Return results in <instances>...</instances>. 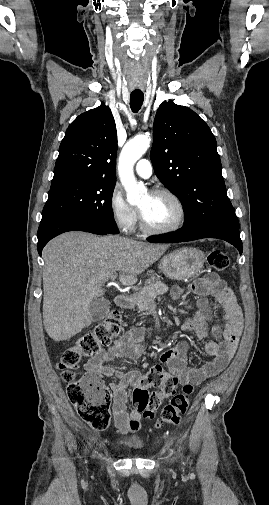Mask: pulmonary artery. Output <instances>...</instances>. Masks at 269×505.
I'll use <instances>...</instances> for the list:
<instances>
[{
  "label": "pulmonary artery",
  "instance_id": "pulmonary-artery-1",
  "mask_svg": "<svg viewBox=\"0 0 269 505\" xmlns=\"http://www.w3.org/2000/svg\"><path fill=\"white\" fill-rule=\"evenodd\" d=\"M135 171L142 178H149L152 175V165L148 159H141L137 162Z\"/></svg>",
  "mask_w": 269,
  "mask_h": 505
}]
</instances>
